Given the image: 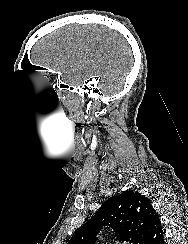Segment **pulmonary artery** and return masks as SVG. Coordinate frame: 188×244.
<instances>
[{"label": "pulmonary artery", "mask_w": 188, "mask_h": 244, "mask_svg": "<svg viewBox=\"0 0 188 244\" xmlns=\"http://www.w3.org/2000/svg\"><path fill=\"white\" fill-rule=\"evenodd\" d=\"M122 244H129V243H127V242H124V243H122Z\"/></svg>", "instance_id": "e3ab8cb5"}]
</instances>
